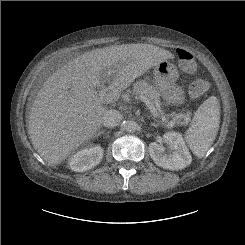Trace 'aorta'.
<instances>
[{
  "instance_id": "obj_1",
  "label": "aorta",
  "mask_w": 245,
  "mask_h": 245,
  "mask_svg": "<svg viewBox=\"0 0 245 245\" xmlns=\"http://www.w3.org/2000/svg\"><path fill=\"white\" fill-rule=\"evenodd\" d=\"M138 124L133 120H128L124 123V129L127 132H135L137 130Z\"/></svg>"
}]
</instances>
